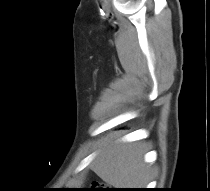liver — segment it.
<instances>
[{"label": "liver", "mask_w": 210, "mask_h": 191, "mask_svg": "<svg viewBox=\"0 0 210 191\" xmlns=\"http://www.w3.org/2000/svg\"><path fill=\"white\" fill-rule=\"evenodd\" d=\"M144 154V147L139 143H122L118 138L105 139L90 168L103 181L116 188L145 186L148 167L143 160Z\"/></svg>", "instance_id": "liver-1"}]
</instances>
